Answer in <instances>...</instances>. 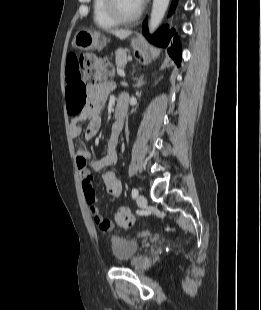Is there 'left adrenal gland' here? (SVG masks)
<instances>
[{
	"label": "left adrenal gland",
	"mask_w": 261,
	"mask_h": 310,
	"mask_svg": "<svg viewBox=\"0 0 261 310\" xmlns=\"http://www.w3.org/2000/svg\"><path fill=\"white\" fill-rule=\"evenodd\" d=\"M143 78H144V77L142 76V77L139 79L138 83L136 84V87H137V88H140V87H142V86L145 84Z\"/></svg>",
	"instance_id": "left-adrenal-gland-1"
}]
</instances>
